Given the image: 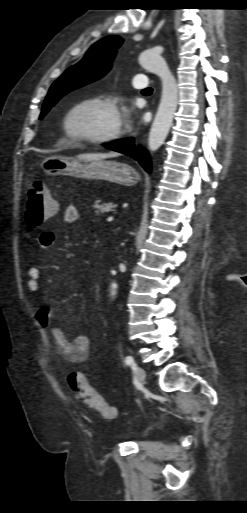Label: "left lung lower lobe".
I'll use <instances>...</instances> for the list:
<instances>
[{
    "label": "left lung lower lobe",
    "instance_id": "obj_1",
    "mask_svg": "<svg viewBox=\"0 0 247 513\" xmlns=\"http://www.w3.org/2000/svg\"><path fill=\"white\" fill-rule=\"evenodd\" d=\"M103 146L107 149L131 156L135 160H138L147 172H150L151 162L149 154L142 147H136L133 138L123 139L110 144H103Z\"/></svg>",
    "mask_w": 247,
    "mask_h": 513
}]
</instances>
